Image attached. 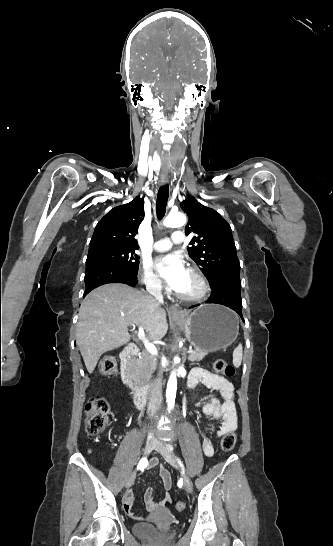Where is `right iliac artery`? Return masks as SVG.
<instances>
[{
    "label": "right iliac artery",
    "instance_id": "obj_1",
    "mask_svg": "<svg viewBox=\"0 0 333 546\" xmlns=\"http://www.w3.org/2000/svg\"><path fill=\"white\" fill-rule=\"evenodd\" d=\"M147 465H148V460H147L146 457H143V458L140 460V462H139V464H138V466H137V469H138V470H139V469H144Z\"/></svg>",
    "mask_w": 333,
    "mask_h": 546
}]
</instances>
